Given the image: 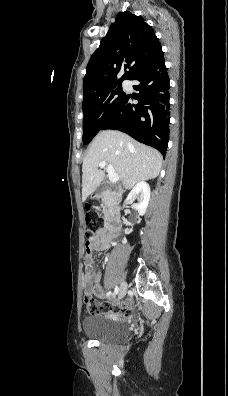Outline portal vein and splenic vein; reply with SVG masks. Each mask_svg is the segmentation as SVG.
Returning <instances> with one entry per match:
<instances>
[{
    "instance_id": "portal-vein-and-splenic-vein-1",
    "label": "portal vein and splenic vein",
    "mask_w": 228,
    "mask_h": 396,
    "mask_svg": "<svg viewBox=\"0 0 228 396\" xmlns=\"http://www.w3.org/2000/svg\"><path fill=\"white\" fill-rule=\"evenodd\" d=\"M106 166V162L105 161H101L99 162V167L100 168H105ZM107 172H108V176H109V180L112 183H116L119 180V176L118 174L115 172L113 166L110 164L107 167Z\"/></svg>"
}]
</instances>
